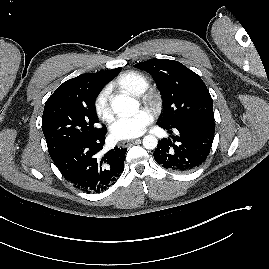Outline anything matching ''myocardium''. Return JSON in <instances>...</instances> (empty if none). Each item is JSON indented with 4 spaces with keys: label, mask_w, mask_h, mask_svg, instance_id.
Instances as JSON below:
<instances>
[{
    "label": "myocardium",
    "mask_w": 269,
    "mask_h": 269,
    "mask_svg": "<svg viewBox=\"0 0 269 269\" xmlns=\"http://www.w3.org/2000/svg\"><path fill=\"white\" fill-rule=\"evenodd\" d=\"M143 101L147 104L149 108L153 111H158L161 108L162 100L157 93L148 92L142 96Z\"/></svg>",
    "instance_id": "f54148a6"
}]
</instances>
